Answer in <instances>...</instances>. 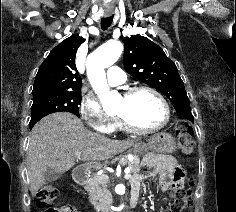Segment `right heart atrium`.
Returning a JSON list of instances; mask_svg holds the SVG:
<instances>
[{"mask_svg": "<svg viewBox=\"0 0 236 212\" xmlns=\"http://www.w3.org/2000/svg\"><path fill=\"white\" fill-rule=\"evenodd\" d=\"M79 111L84 122L92 129L109 133L114 122V117L105 113L97 98L84 95L79 105Z\"/></svg>", "mask_w": 236, "mask_h": 212, "instance_id": "right-heart-atrium-1", "label": "right heart atrium"}]
</instances>
